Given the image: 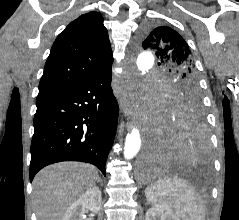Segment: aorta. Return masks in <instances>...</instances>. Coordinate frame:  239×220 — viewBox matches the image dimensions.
Segmentation results:
<instances>
[{"label": "aorta", "mask_w": 239, "mask_h": 220, "mask_svg": "<svg viewBox=\"0 0 239 220\" xmlns=\"http://www.w3.org/2000/svg\"><path fill=\"white\" fill-rule=\"evenodd\" d=\"M153 51L151 48H144V51H140V54L132 60H136L137 70H132L134 73H138L141 76H149V71H154L153 67ZM125 72V70H124ZM153 77V76H149ZM141 147L140 131L137 128H133L130 133L127 134L124 145V158L130 160L134 158Z\"/></svg>", "instance_id": "obj_1"}]
</instances>
